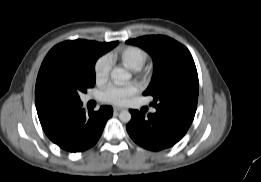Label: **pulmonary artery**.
<instances>
[{
	"mask_svg": "<svg viewBox=\"0 0 261 182\" xmlns=\"http://www.w3.org/2000/svg\"><path fill=\"white\" fill-rule=\"evenodd\" d=\"M89 99H90V98H89V97H87V99H86V100H89ZM151 112H152V113H155V112H156V110H155V109H152V110H151Z\"/></svg>",
	"mask_w": 261,
	"mask_h": 182,
	"instance_id": "obj_1",
	"label": "pulmonary artery"
}]
</instances>
